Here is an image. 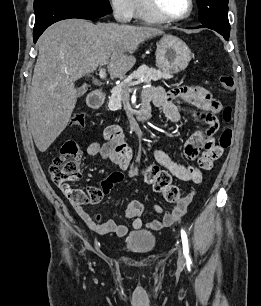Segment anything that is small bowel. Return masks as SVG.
<instances>
[{
  "mask_svg": "<svg viewBox=\"0 0 261 306\" xmlns=\"http://www.w3.org/2000/svg\"><path fill=\"white\" fill-rule=\"evenodd\" d=\"M143 101L148 105L153 104L159 107L165 117L177 123L181 118L180 103L192 106L197 109L196 118L206 125L203 131L195 132L185 143L184 153L187 158L194 160L198 158V167L181 165L174 161L164 150L155 148L154 159L158 164L179 180L199 184L202 181L203 170H211L222 153L223 148L215 144L214 134L219 128L218 114L222 111L221 103L215 99L205 88L195 85H184L166 92L162 87H152L145 90ZM105 143L93 142L87 147V154L92 157L99 156L125 171L129 168L132 159V150L127 145L124 135L118 126H109L104 132ZM118 173V172H117ZM118 181L110 180V175L101 184L103 196L110 192L114 184L121 181L122 174ZM69 197L68 190L61 188ZM76 190V189H73ZM72 201L74 209L85 224L98 234H115L123 237L128 233V227L109 219L102 221L101 216H91L81 204ZM192 201L190 194L178 200L171 211L164 212L163 209L154 205L152 210L162 214L161 219H154L146 226L151 230H159L178 222L187 212ZM145 206L138 200H131L126 208L125 217L132 220V227L140 229L143 226L142 215Z\"/></svg>",
  "mask_w": 261,
  "mask_h": 306,
  "instance_id": "c3829d8e",
  "label": "small bowel"
}]
</instances>
